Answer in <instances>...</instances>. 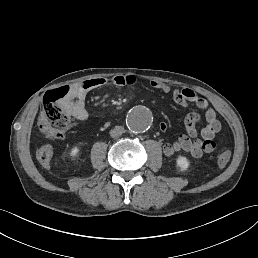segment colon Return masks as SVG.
<instances>
[{
    "instance_id": "colon-1",
    "label": "colon",
    "mask_w": 258,
    "mask_h": 258,
    "mask_svg": "<svg viewBox=\"0 0 258 258\" xmlns=\"http://www.w3.org/2000/svg\"><path fill=\"white\" fill-rule=\"evenodd\" d=\"M70 93V86H62L46 93L37 124L38 132L42 136L58 140L63 138L73 127L72 118L62 107ZM230 158L231 152L225 149L217 156L216 163L223 168L229 163Z\"/></svg>"
}]
</instances>
